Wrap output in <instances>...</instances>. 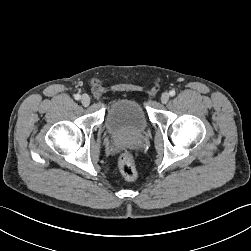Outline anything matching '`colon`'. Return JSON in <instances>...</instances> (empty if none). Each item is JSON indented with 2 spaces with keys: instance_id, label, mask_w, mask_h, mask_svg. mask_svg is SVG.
Listing matches in <instances>:
<instances>
[{
  "instance_id": "1",
  "label": "colon",
  "mask_w": 251,
  "mask_h": 251,
  "mask_svg": "<svg viewBox=\"0 0 251 251\" xmlns=\"http://www.w3.org/2000/svg\"><path fill=\"white\" fill-rule=\"evenodd\" d=\"M119 170L126 181H134L137 178V169L134 156L130 152L123 153L119 158Z\"/></svg>"
}]
</instances>
